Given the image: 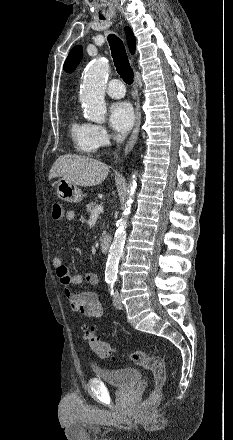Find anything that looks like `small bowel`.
<instances>
[{"instance_id":"obj_1","label":"small bowel","mask_w":233,"mask_h":440,"mask_svg":"<svg viewBox=\"0 0 233 440\" xmlns=\"http://www.w3.org/2000/svg\"><path fill=\"white\" fill-rule=\"evenodd\" d=\"M65 218L69 222L75 221V211L68 210L65 213ZM52 264L72 311L81 313L89 318L102 317L103 308L98 296L94 292L88 290L73 292L71 290L72 285H80L84 281L90 286H97L99 284V276L91 271H87L84 274L71 273L58 256L53 259Z\"/></svg>"}]
</instances>
